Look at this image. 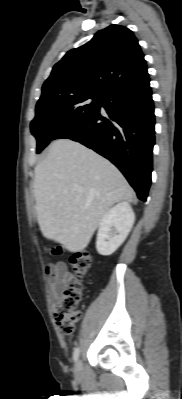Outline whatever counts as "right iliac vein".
Listing matches in <instances>:
<instances>
[{
	"label": "right iliac vein",
	"instance_id": "1",
	"mask_svg": "<svg viewBox=\"0 0 182 399\" xmlns=\"http://www.w3.org/2000/svg\"><path fill=\"white\" fill-rule=\"evenodd\" d=\"M81 372H82V362L78 360L74 367V374L76 377H80Z\"/></svg>",
	"mask_w": 182,
	"mask_h": 399
}]
</instances>
